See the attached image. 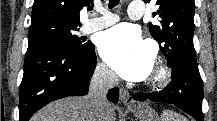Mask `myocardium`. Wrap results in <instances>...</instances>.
Listing matches in <instances>:
<instances>
[{
  "instance_id": "1",
  "label": "myocardium",
  "mask_w": 217,
  "mask_h": 121,
  "mask_svg": "<svg viewBox=\"0 0 217 121\" xmlns=\"http://www.w3.org/2000/svg\"><path fill=\"white\" fill-rule=\"evenodd\" d=\"M170 75V69L165 64H159L147 80V85L150 88L163 87L169 81Z\"/></svg>"
}]
</instances>
